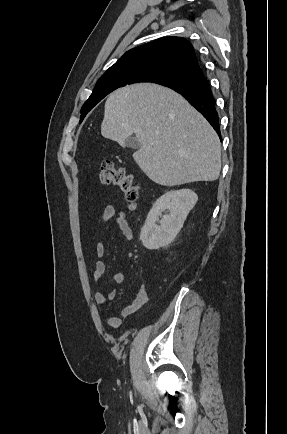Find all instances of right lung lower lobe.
Here are the masks:
<instances>
[{
  "mask_svg": "<svg viewBox=\"0 0 287 434\" xmlns=\"http://www.w3.org/2000/svg\"><path fill=\"white\" fill-rule=\"evenodd\" d=\"M166 86L188 100L208 120L218 135H221L216 102L200 66L189 70L177 82Z\"/></svg>",
  "mask_w": 287,
  "mask_h": 434,
  "instance_id": "1",
  "label": "right lung lower lobe"
}]
</instances>
